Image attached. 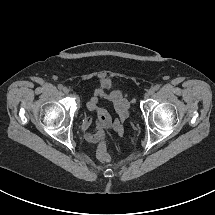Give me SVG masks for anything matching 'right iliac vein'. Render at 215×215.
<instances>
[{"instance_id":"1","label":"right iliac vein","mask_w":215,"mask_h":215,"mask_svg":"<svg viewBox=\"0 0 215 215\" xmlns=\"http://www.w3.org/2000/svg\"><path fill=\"white\" fill-rule=\"evenodd\" d=\"M63 92L66 93V94H68V93L70 92V90H69V88L64 87V88H63Z\"/></svg>"}]
</instances>
